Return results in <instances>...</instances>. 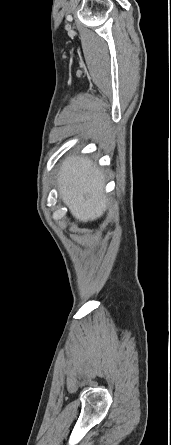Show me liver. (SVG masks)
I'll list each match as a JSON object with an SVG mask.
<instances>
[{
    "instance_id": "6515ba94",
    "label": "liver",
    "mask_w": 171,
    "mask_h": 445,
    "mask_svg": "<svg viewBox=\"0 0 171 445\" xmlns=\"http://www.w3.org/2000/svg\"><path fill=\"white\" fill-rule=\"evenodd\" d=\"M60 196L71 214L82 222L93 221L105 212L104 174L88 157L66 158L58 172Z\"/></svg>"
}]
</instances>
